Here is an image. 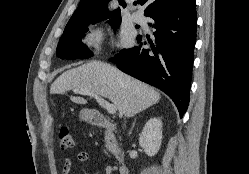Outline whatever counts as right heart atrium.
I'll return each instance as SVG.
<instances>
[{
  "label": "right heart atrium",
  "mask_w": 249,
  "mask_h": 174,
  "mask_svg": "<svg viewBox=\"0 0 249 174\" xmlns=\"http://www.w3.org/2000/svg\"><path fill=\"white\" fill-rule=\"evenodd\" d=\"M102 38V29L96 28L92 29L86 33L83 38V43L93 50H98L100 48Z\"/></svg>",
  "instance_id": "obj_1"
}]
</instances>
